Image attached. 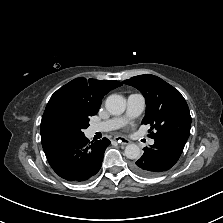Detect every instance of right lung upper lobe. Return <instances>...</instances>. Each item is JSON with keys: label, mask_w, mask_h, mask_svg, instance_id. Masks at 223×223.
<instances>
[{"label": "right lung upper lobe", "mask_w": 223, "mask_h": 223, "mask_svg": "<svg viewBox=\"0 0 223 223\" xmlns=\"http://www.w3.org/2000/svg\"><path fill=\"white\" fill-rule=\"evenodd\" d=\"M122 83L114 80L76 78L50 98L41 121V142L43 148L53 142L69 139L62 128V120L71 114L88 117L95 115L102 103V98Z\"/></svg>", "instance_id": "right-lung-upper-lobe-1"}]
</instances>
